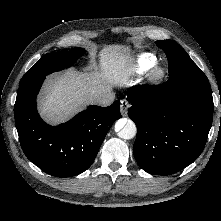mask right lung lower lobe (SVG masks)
I'll use <instances>...</instances> for the list:
<instances>
[{"instance_id":"right-lung-lower-lobe-1","label":"right lung lower lobe","mask_w":221,"mask_h":221,"mask_svg":"<svg viewBox=\"0 0 221 221\" xmlns=\"http://www.w3.org/2000/svg\"><path fill=\"white\" fill-rule=\"evenodd\" d=\"M45 77L19 85L14 107L16 128L26 157L56 177L87 170L113 125L121 117L120 101L109 107L89 106L70 121L46 124L36 108V97Z\"/></svg>"}]
</instances>
